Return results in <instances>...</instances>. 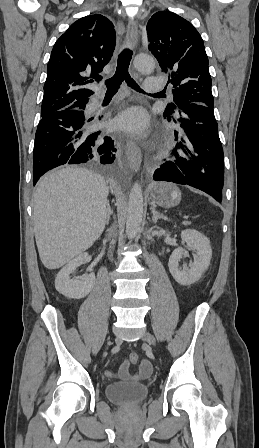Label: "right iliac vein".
<instances>
[{
    "label": "right iliac vein",
    "mask_w": 259,
    "mask_h": 448,
    "mask_svg": "<svg viewBox=\"0 0 259 448\" xmlns=\"http://www.w3.org/2000/svg\"><path fill=\"white\" fill-rule=\"evenodd\" d=\"M103 356H106V352L103 354Z\"/></svg>",
    "instance_id": "63e3f726"
}]
</instances>
